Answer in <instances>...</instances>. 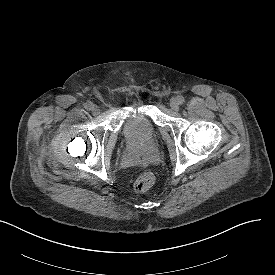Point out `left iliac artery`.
Masks as SVG:
<instances>
[{
  "label": "left iliac artery",
  "instance_id": "left-iliac-artery-1",
  "mask_svg": "<svg viewBox=\"0 0 275 275\" xmlns=\"http://www.w3.org/2000/svg\"><path fill=\"white\" fill-rule=\"evenodd\" d=\"M177 100H178L179 104H183L184 101H185L184 97L181 96V95H180V96H177Z\"/></svg>",
  "mask_w": 275,
  "mask_h": 275
}]
</instances>
